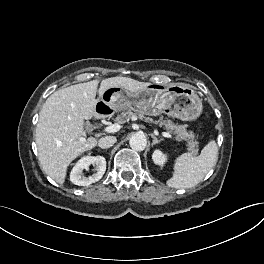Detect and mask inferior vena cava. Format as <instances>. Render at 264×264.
Listing matches in <instances>:
<instances>
[{
	"mask_svg": "<svg viewBox=\"0 0 264 264\" xmlns=\"http://www.w3.org/2000/svg\"><path fill=\"white\" fill-rule=\"evenodd\" d=\"M117 139L115 136H105L99 139L98 146L101 148H110L116 143Z\"/></svg>",
	"mask_w": 264,
	"mask_h": 264,
	"instance_id": "inferior-vena-cava-1",
	"label": "inferior vena cava"
}]
</instances>
